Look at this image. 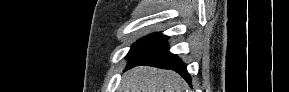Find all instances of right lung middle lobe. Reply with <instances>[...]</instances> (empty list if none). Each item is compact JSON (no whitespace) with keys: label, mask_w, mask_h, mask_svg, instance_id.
I'll return each instance as SVG.
<instances>
[{"label":"right lung middle lobe","mask_w":289,"mask_h":92,"mask_svg":"<svg viewBox=\"0 0 289 92\" xmlns=\"http://www.w3.org/2000/svg\"><path fill=\"white\" fill-rule=\"evenodd\" d=\"M167 38L168 37L160 33H153L138 40L132 45L126 56L129 60L128 65L134 61L151 57L167 49Z\"/></svg>","instance_id":"obj_1"}]
</instances>
